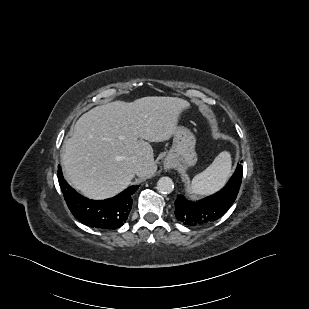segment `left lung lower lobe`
<instances>
[{"label": "left lung lower lobe", "instance_id": "obj_1", "mask_svg": "<svg viewBox=\"0 0 309 309\" xmlns=\"http://www.w3.org/2000/svg\"><path fill=\"white\" fill-rule=\"evenodd\" d=\"M243 167L238 164L235 173L219 192L192 202L184 196L175 201V215L187 226H203L222 217L234 203L242 181Z\"/></svg>", "mask_w": 309, "mask_h": 309}]
</instances>
